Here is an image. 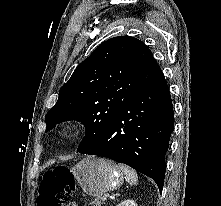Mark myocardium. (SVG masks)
Here are the masks:
<instances>
[{"label": "myocardium", "instance_id": "f54148a6", "mask_svg": "<svg viewBox=\"0 0 221 206\" xmlns=\"http://www.w3.org/2000/svg\"><path fill=\"white\" fill-rule=\"evenodd\" d=\"M75 129H76V125L74 123L68 125L66 128L67 131H74Z\"/></svg>", "mask_w": 221, "mask_h": 206}]
</instances>
